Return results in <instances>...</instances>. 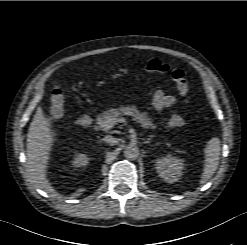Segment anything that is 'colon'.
<instances>
[{"mask_svg":"<svg viewBox=\"0 0 247 245\" xmlns=\"http://www.w3.org/2000/svg\"><path fill=\"white\" fill-rule=\"evenodd\" d=\"M144 69L148 72L169 74L175 82L179 94L186 99L190 85L187 74L182 69H174L158 59H152L144 63ZM65 97L61 88L55 87L51 93L50 113L54 119H59L64 112ZM185 125V120L178 114L172 115L168 120L171 129H180Z\"/></svg>","mask_w":247,"mask_h":245,"instance_id":"obj_1","label":"colon"}]
</instances>
